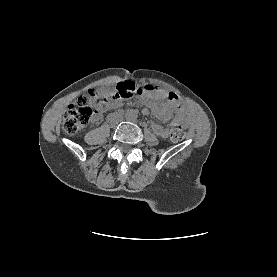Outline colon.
Wrapping results in <instances>:
<instances>
[{
	"mask_svg": "<svg viewBox=\"0 0 277 277\" xmlns=\"http://www.w3.org/2000/svg\"><path fill=\"white\" fill-rule=\"evenodd\" d=\"M141 90V87L134 82L119 83L115 89L105 93L90 90L87 94L79 96L68 107L63 118V131L67 135H75L89 123L96 109L105 108L116 100L131 98ZM185 135L184 127L179 123H175L171 132L172 140L181 141L185 138Z\"/></svg>",
	"mask_w": 277,
	"mask_h": 277,
	"instance_id": "5ec220e1",
	"label": "colon"
}]
</instances>
